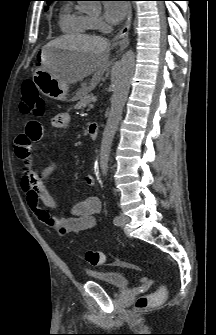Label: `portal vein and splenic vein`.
<instances>
[{"label":"portal vein and splenic vein","instance_id":"18ae733b","mask_svg":"<svg viewBox=\"0 0 216 335\" xmlns=\"http://www.w3.org/2000/svg\"><path fill=\"white\" fill-rule=\"evenodd\" d=\"M89 107H90V108H93V107H94V104H90Z\"/></svg>","mask_w":216,"mask_h":335}]
</instances>
